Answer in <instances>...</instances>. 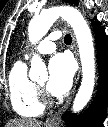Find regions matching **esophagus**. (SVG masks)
Masks as SVG:
<instances>
[{"label":"esophagus","mask_w":108,"mask_h":127,"mask_svg":"<svg viewBox=\"0 0 108 127\" xmlns=\"http://www.w3.org/2000/svg\"><path fill=\"white\" fill-rule=\"evenodd\" d=\"M63 23L65 24V22H63ZM69 30H70L71 36H72V50H73V53H74L76 59L79 62V54H78L76 39H75V36H74L72 30L71 29H69ZM80 72H81V68H79V71H78V74H77V77H76V82L79 80ZM74 92H75V88H73L71 96L65 102L63 107L58 112H56L55 114H53L52 116H50L46 120V127H60V125H61V115L67 109L69 104L71 103Z\"/></svg>","instance_id":"esophagus-1"}]
</instances>
